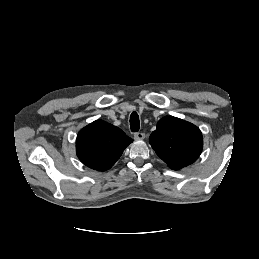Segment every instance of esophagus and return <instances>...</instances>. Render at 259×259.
Masks as SVG:
<instances>
[{
	"label": "esophagus",
	"mask_w": 259,
	"mask_h": 259,
	"mask_svg": "<svg viewBox=\"0 0 259 259\" xmlns=\"http://www.w3.org/2000/svg\"><path fill=\"white\" fill-rule=\"evenodd\" d=\"M145 138V134L142 132H136L134 134V139L135 140H143Z\"/></svg>",
	"instance_id": "34e87169"
}]
</instances>
